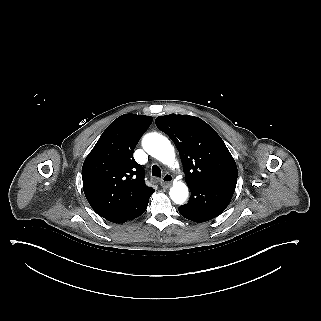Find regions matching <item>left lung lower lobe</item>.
I'll list each match as a JSON object with an SVG mask.
<instances>
[{
  "mask_svg": "<svg viewBox=\"0 0 321 321\" xmlns=\"http://www.w3.org/2000/svg\"><path fill=\"white\" fill-rule=\"evenodd\" d=\"M237 180H213L188 184L191 198L179 213L194 222H206L220 215L229 205Z\"/></svg>",
  "mask_w": 321,
  "mask_h": 321,
  "instance_id": "0a47b994",
  "label": "left lung lower lobe"
}]
</instances>
